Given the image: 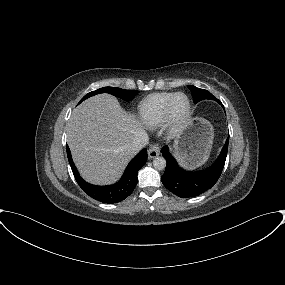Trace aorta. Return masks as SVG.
<instances>
[{"label": "aorta", "instance_id": "762f6f07", "mask_svg": "<svg viewBox=\"0 0 285 285\" xmlns=\"http://www.w3.org/2000/svg\"><path fill=\"white\" fill-rule=\"evenodd\" d=\"M153 166L157 170H163L166 167V160L163 157H155L153 160Z\"/></svg>", "mask_w": 285, "mask_h": 285}]
</instances>
